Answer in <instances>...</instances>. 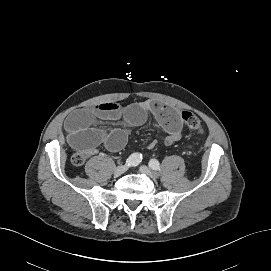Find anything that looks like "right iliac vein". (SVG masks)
<instances>
[{
    "label": "right iliac vein",
    "mask_w": 271,
    "mask_h": 271,
    "mask_svg": "<svg viewBox=\"0 0 271 271\" xmlns=\"http://www.w3.org/2000/svg\"><path fill=\"white\" fill-rule=\"evenodd\" d=\"M127 170H128V167L125 166V165L118 166L114 170V176L115 177H119V176L123 175Z\"/></svg>",
    "instance_id": "right-iliac-vein-1"
}]
</instances>
